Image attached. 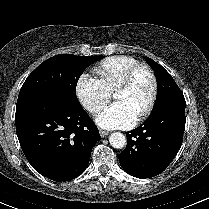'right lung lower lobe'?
<instances>
[{"label":"right lung lower lobe","mask_w":209,"mask_h":209,"mask_svg":"<svg viewBox=\"0 0 209 209\" xmlns=\"http://www.w3.org/2000/svg\"><path fill=\"white\" fill-rule=\"evenodd\" d=\"M15 124L28 162L54 181L79 176L101 139L80 103L60 96H48L17 110Z\"/></svg>","instance_id":"right-lung-lower-lobe-1"}]
</instances>
